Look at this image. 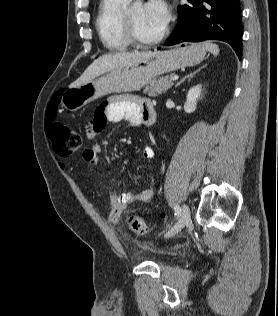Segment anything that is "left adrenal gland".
<instances>
[{
    "label": "left adrenal gland",
    "mask_w": 278,
    "mask_h": 316,
    "mask_svg": "<svg viewBox=\"0 0 278 316\" xmlns=\"http://www.w3.org/2000/svg\"><path fill=\"white\" fill-rule=\"evenodd\" d=\"M204 67H206V66H202L201 68H199V69H197L196 71H194L193 73H191V74H189V75H187V76H185L180 82H178L177 84H176V86L175 87H178V86H180L181 85V83H183L186 79H190V78H192L197 72H199L202 68H204Z\"/></svg>",
    "instance_id": "left-adrenal-gland-1"
}]
</instances>
